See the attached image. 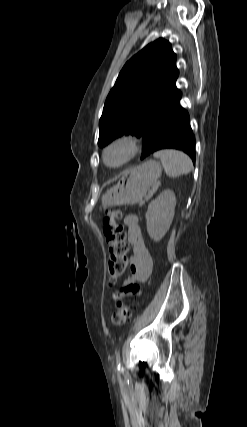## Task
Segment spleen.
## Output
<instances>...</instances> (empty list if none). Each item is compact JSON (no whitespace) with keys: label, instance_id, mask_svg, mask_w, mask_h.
<instances>
[{"label":"spleen","instance_id":"spleen-1","mask_svg":"<svg viewBox=\"0 0 247 427\" xmlns=\"http://www.w3.org/2000/svg\"><path fill=\"white\" fill-rule=\"evenodd\" d=\"M154 156L160 158L162 166L169 177L188 174L193 168L189 156L178 150H160L156 152Z\"/></svg>","mask_w":247,"mask_h":427}]
</instances>
